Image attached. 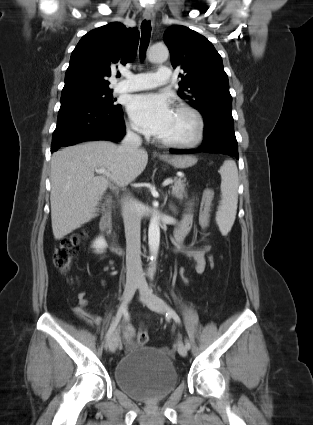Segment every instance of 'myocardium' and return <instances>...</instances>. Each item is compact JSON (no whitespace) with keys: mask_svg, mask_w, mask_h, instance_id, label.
<instances>
[{"mask_svg":"<svg viewBox=\"0 0 313 425\" xmlns=\"http://www.w3.org/2000/svg\"><path fill=\"white\" fill-rule=\"evenodd\" d=\"M175 111L186 113L193 118L196 124V131L194 136L191 139L185 141L159 139V142L164 146L173 148H192L199 145L204 138L206 128L203 115L196 108L187 104L177 105Z\"/></svg>","mask_w":313,"mask_h":425,"instance_id":"1","label":"myocardium"}]
</instances>
